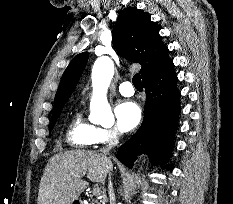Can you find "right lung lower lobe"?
Listing matches in <instances>:
<instances>
[{"label": "right lung lower lobe", "mask_w": 233, "mask_h": 204, "mask_svg": "<svg viewBox=\"0 0 233 204\" xmlns=\"http://www.w3.org/2000/svg\"><path fill=\"white\" fill-rule=\"evenodd\" d=\"M173 62L145 78L146 93L144 120L138 131L117 152V158L132 168L137 156L149 155L151 163L166 160L171 154L173 135L177 128L180 109L178 78ZM172 169V165L168 166Z\"/></svg>", "instance_id": "98d812e1"}]
</instances>
